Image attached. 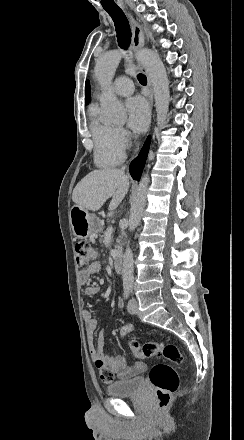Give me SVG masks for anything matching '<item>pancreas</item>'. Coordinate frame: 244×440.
I'll return each instance as SVG.
<instances>
[{"mask_svg": "<svg viewBox=\"0 0 244 440\" xmlns=\"http://www.w3.org/2000/svg\"><path fill=\"white\" fill-rule=\"evenodd\" d=\"M117 242H118V244H120V240H118V238H117Z\"/></svg>", "mask_w": 244, "mask_h": 440, "instance_id": "pancreas-1", "label": "pancreas"}]
</instances>
